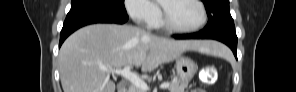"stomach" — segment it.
Here are the masks:
<instances>
[{"instance_id":"0dacf381","label":"stomach","mask_w":296,"mask_h":92,"mask_svg":"<svg viewBox=\"0 0 296 92\" xmlns=\"http://www.w3.org/2000/svg\"><path fill=\"white\" fill-rule=\"evenodd\" d=\"M197 64L188 57L176 58V70L181 82H189L197 71Z\"/></svg>"}]
</instances>
